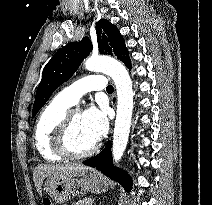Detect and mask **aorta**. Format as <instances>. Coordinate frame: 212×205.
<instances>
[{
  "label": "aorta",
  "instance_id": "1",
  "mask_svg": "<svg viewBox=\"0 0 212 205\" xmlns=\"http://www.w3.org/2000/svg\"><path fill=\"white\" fill-rule=\"evenodd\" d=\"M85 68L109 75L117 90V115L115 120L112 156L115 163L122 158L126 149L133 111V89L127 69L116 59L107 56H92L85 62Z\"/></svg>",
  "mask_w": 212,
  "mask_h": 205
}]
</instances>
